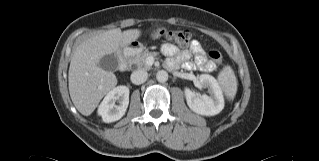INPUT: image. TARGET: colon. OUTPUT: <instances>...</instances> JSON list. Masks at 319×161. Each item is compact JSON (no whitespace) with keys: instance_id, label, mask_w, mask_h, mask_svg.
<instances>
[{"instance_id":"1","label":"colon","mask_w":319,"mask_h":161,"mask_svg":"<svg viewBox=\"0 0 319 161\" xmlns=\"http://www.w3.org/2000/svg\"><path fill=\"white\" fill-rule=\"evenodd\" d=\"M167 38L177 44H186L190 39V33L186 30H172L167 33ZM211 58V63L217 66L221 63L222 57L217 49H212L208 52Z\"/></svg>"}]
</instances>
